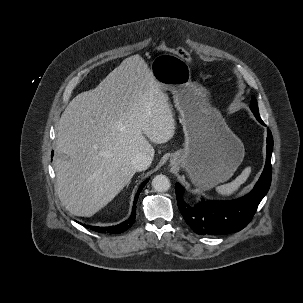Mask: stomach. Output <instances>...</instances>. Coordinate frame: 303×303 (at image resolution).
Here are the masks:
<instances>
[{
  "mask_svg": "<svg viewBox=\"0 0 303 303\" xmlns=\"http://www.w3.org/2000/svg\"><path fill=\"white\" fill-rule=\"evenodd\" d=\"M150 70L160 88L172 92L185 134L184 148L172 155L171 165L183 168L202 190L229 180L244 159V145L210 106L208 91L191 81L188 63L162 54Z\"/></svg>",
  "mask_w": 303,
  "mask_h": 303,
  "instance_id": "stomach-1",
  "label": "stomach"
}]
</instances>
